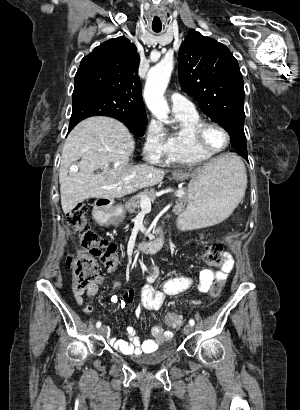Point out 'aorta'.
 I'll list each match as a JSON object with an SVG mask.
<instances>
[{
    "mask_svg": "<svg viewBox=\"0 0 300 410\" xmlns=\"http://www.w3.org/2000/svg\"><path fill=\"white\" fill-rule=\"evenodd\" d=\"M174 61L165 57L150 69L144 89V99L151 113L164 123L168 121L169 107L164 99V92L170 80Z\"/></svg>",
    "mask_w": 300,
    "mask_h": 410,
    "instance_id": "762f6f07",
    "label": "aorta"
}]
</instances>
